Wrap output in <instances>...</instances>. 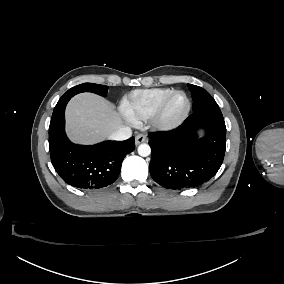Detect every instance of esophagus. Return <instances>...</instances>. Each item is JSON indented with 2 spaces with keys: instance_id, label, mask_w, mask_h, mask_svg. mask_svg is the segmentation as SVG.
I'll return each mask as SVG.
<instances>
[{
  "instance_id": "esophagus-1",
  "label": "esophagus",
  "mask_w": 284,
  "mask_h": 284,
  "mask_svg": "<svg viewBox=\"0 0 284 284\" xmlns=\"http://www.w3.org/2000/svg\"><path fill=\"white\" fill-rule=\"evenodd\" d=\"M146 140H147L146 134H143V133L137 134L135 137V144L139 145L140 143H143Z\"/></svg>"
}]
</instances>
